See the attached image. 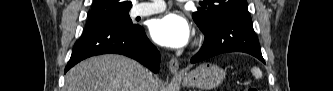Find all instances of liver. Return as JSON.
Here are the masks:
<instances>
[{
    "instance_id": "6515ba94",
    "label": "liver",
    "mask_w": 333,
    "mask_h": 91,
    "mask_svg": "<svg viewBox=\"0 0 333 91\" xmlns=\"http://www.w3.org/2000/svg\"><path fill=\"white\" fill-rule=\"evenodd\" d=\"M148 75L151 73L144 66L130 58L96 56L68 71L64 91H142ZM158 88V81L154 80L153 91Z\"/></svg>"
}]
</instances>
